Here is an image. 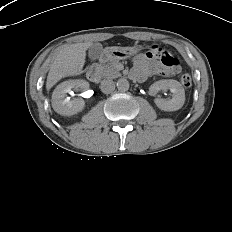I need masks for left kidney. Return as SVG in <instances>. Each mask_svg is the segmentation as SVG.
<instances>
[{"mask_svg":"<svg viewBox=\"0 0 232 232\" xmlns=\"http://www.w3.org/2000/svg\"><path fill=\"white\" fill-rule=\"evenodd\" d=\"M151 94L156 95L159 91L170 90L172 98L169 100L157 98V107L164 111H177L185 103V90L180 82L173 79H165L154 82L149 88Z\"/></svg>","mask_w":232,"mask_h":232,"instance_id":"5707ae66","label":"left kidney"}]
</instances>
